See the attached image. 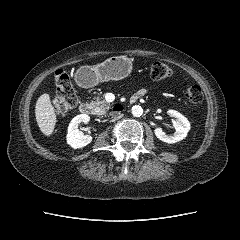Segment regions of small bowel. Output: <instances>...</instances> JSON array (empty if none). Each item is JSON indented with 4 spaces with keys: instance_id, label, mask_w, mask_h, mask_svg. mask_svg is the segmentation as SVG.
Here are the masks:
<instances>
[{
    "instance_id": "c3829d8e",
    "label": "small bowel",
    "mask_w": 240,
    "mask_h": 240,
    "mask_svg": "<svg viewBox=\"0 0 240 240\" xmlns=\"http://www.w3.org/2000/svg\"><path fill=\"white\" fill-rule=\"evenodd\" d=\"M149 91H150L149 89H142L137 94L141 97L149 93Z\"/></svg>"
}]
</instances>
